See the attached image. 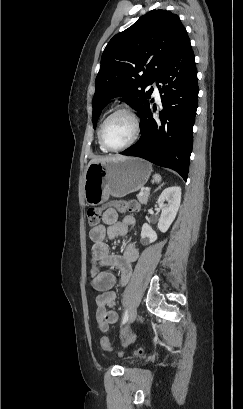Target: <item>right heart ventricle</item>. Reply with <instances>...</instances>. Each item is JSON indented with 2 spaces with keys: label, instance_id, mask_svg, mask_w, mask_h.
<instances>
[{
  "label": "right heart ventricle",
  "instance_id": "1",
  "mask_svg": "<svg viewBox=\"0 0 243 409\" xmlns=\"http://www.w3.org/2000/svg\"><path fill=\"white\" fill-rule=\"evenodd\" d=\"M98 144H99V148H100V150L102 151V152H107L108 150H106L101 144H100V142H98Z\"/></svg>",
  "mask_w": 243,
  "mask_h": 409
}]
</instances>
